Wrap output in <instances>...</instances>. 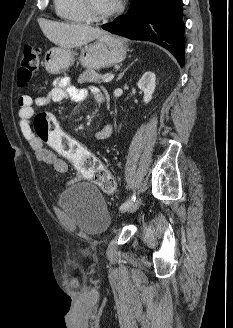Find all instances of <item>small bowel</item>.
Listing matches in <instances>:
<instances>
[{
  "instance_id": "c3829d8e",
  "label": "small bowel",
  "mask_w": 233,
  "mask_h": 328,
  "mask_svg": "<svg viewBox=\"0 0 233 328\" xmlns=\"http://www.w3.org/2000/svg\"><path fill=\"white\" fill-rule=\"evenodd\" d=\"M96 101L98 102L99 96L102 94L97 90H92ZM87 92L82 89H78L70 84L67 78H58L54 81L51 90L38 98H32L28 95H23L19 98V122L20 129L23 136L28 140L31 148L35 152L37 159L44 164L51 166L52 170L56 174H63L67 171L68 165L65 160L59 158L54 152L47 149L45 144L36 136L33 135L30 121L34 114L35 107H48L53 103L73 100L82 101L86 97ZM112 133V127L110 124L105 125L100 131L95 134L97 139H107ZM46 181L52 182V179L47 176ZM72 286L78 287L79 281L74 278L72 280Z\"/></svg>"
}]
</instances>
